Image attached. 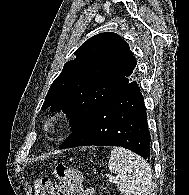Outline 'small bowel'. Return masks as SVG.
Returning <instances> with one entry per match:
<instances>
[{
	"instance_id": "small-bowel-1",
	"label": "small bowel",
	"mask_w": 189,
	"mask_h": 195,
	"mask_svg": "<svg viewBox=\"0 0 189 195\" xmlns=\"http://www.w3.org/2000/svg\"><path fill=\"white\" fill-rule=\"evenodd\" d=\"M84 195H97V190L95 187H86L84 190Z\"/></svg>"
}]
</instances>
